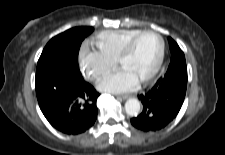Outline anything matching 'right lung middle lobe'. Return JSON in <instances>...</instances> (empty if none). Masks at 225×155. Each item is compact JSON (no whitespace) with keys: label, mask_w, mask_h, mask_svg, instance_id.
<instances>
[{"label":"right lung middle lobe","mask_w":225,"mask_h":155,"mask_svg":"<svg viewBox=\"0 0 225 155\" xmlns=\"http://www.w3.org/2000/svg\"><path fill=\"white\" fill-rule=\"evenodd\" d=\"M94 28L75 27L53 37L45 46L37 63L35 87L66 66L78 68V53L84 38Z\"/></svg>","instance_id":"1"}]
</instances>
